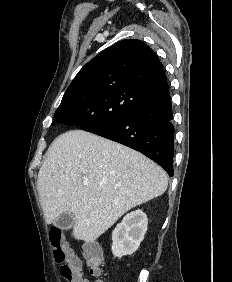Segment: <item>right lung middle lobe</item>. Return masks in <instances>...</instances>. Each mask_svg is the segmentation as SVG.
I'll return each mask as SVG.
<instances>
[{
    "instance_id": "right-lung-middle-lobe-1",
    "label": "right lung middle lobe",
    "mask_w": 232,
    "mask_h": 282,
    "mask_svg": "<svg viewBox=\"0 0 232 282\" xmlns=\"http://www.w3.org/2000/svg\"><path fill=\"white\" fill-rule=\"evenodd\" d=\"M150 100L144 93L130 89L92 92L61 102L52 125H76L81 129L114 122L140 111Z\"/></svg>"
}]
</instances>
